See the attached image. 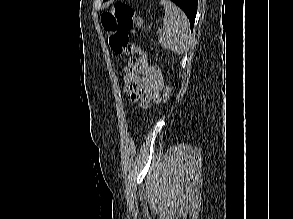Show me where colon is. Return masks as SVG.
<instances>
[{"label": "colon", "instance_id": "obj_1", "mask_svg": "<svg viewBox=\"0 0 293 219\" xmlns=\"http://www.w3.org/2000/svg\"><path fill=\"white\" fill-rule=\"evenodd\" d=\"M102 27L107 34L108 44L117 55L132 56L125 68L126 74H139L147 67L146 54L130 40V33H134L142 26L141 19L132 7L123 2L115 3L102 14ZM172 95V88L166 85L163 89V102H167Z\"/></svg>", "mask_w": 293, "mask_h": 219}]
</instances>
